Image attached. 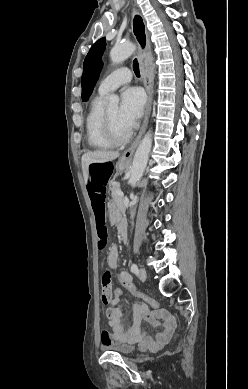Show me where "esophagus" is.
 Wrapping results in <instances>:
<instances>
[{
    "instance_id": "34e87169",
    "label": "esophagus",
    "mask_w": 248,
    "mask_h": 389,
    "mask_svg": "<svg viewBox=\"0 0 248 389\" xmlns=\"http://www.w3.org/2000/svg\"><path fill=\"white\" fill-rule=\"evenodd\" d=\"M132 32L139 46V60L141 63V67L146 71V76L144 77V85L148 94V101L146 105L145 118L142 127L140 129V132L137 138L135 139V141L132 143V145L127 150H125L121 155L120 160L122 161L131 160L134 151L142 135L146 130L150 112H151L152 98H153V75L149 67V59L151 55L149 33L147 31L143 16L134 8L132 11Z\"/></svg>"
}]
</instances>
